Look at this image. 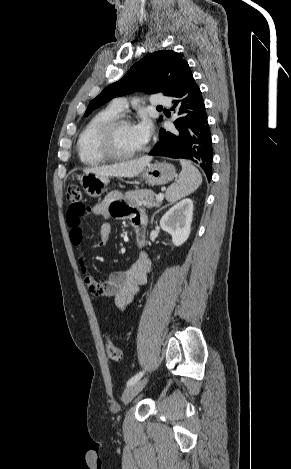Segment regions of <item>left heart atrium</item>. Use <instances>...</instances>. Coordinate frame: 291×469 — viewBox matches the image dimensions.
Here are the masks:
<instances>
[{
  "mask_svg": "<svg viewBox=\"0 0 291 469\" xmlns=\"http://www.w3.org/2000/svg\"><path fill=\"white\" fill-rule=\"evenodd\" d=\"M134 130L139 139L142 141V143L146 144L152 132L151 122L148 119L144 118L139 123L134 125Z\"/></svg>",
  "mask_w": 291,
  "mask_h": 469,
  "instance_id": "39dd6f15",
  "label": "left heart atrium"
}]
</instances>
